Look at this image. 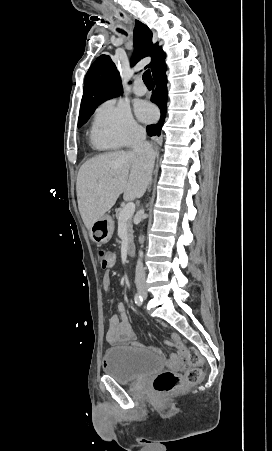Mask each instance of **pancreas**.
I'll return each mask as SVG.
<instances>
[{
	"label": "pancreas",
	"instance_id": "pancreas-1",
	"mask_svg": "<svg viewBox=\"0 0 272 451\" xmlns=\"http://www.w3.org/2000/svg\"><path fill=\"white\" fill-rule=\"evenodd\" d=\"M120 212H122V208H118V210H116V218H117L118 222H119V218H120V216H119ZM123 224H125V226L127 227V231H128L127 235H128L129 243H133V239H134L133 224H132L131 218H129V220H126V222H123Z\"/></svg>",
	"mask_w": 272,
	"mask_h": 451
}]
</instances>
